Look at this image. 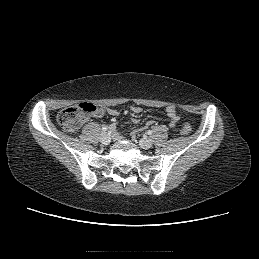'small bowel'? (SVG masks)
<instances>
[{"instance_id": "obj_1", "label": "small bowel", "mask_w": 259, "mask_h": 259, "mask_svg": "<svg viewBox=\"0 0 259 259\" xmlns=\"http://www.w3.org/2000/svg\"><path fill=\"white\" fill-rule=\"evenodd\" d=\"M129 109H130V111H132L135 114H139L142 112V108L139 106H135V105L130 106ZM120 113H121V111L118 109H115V108H98L97 111L93 114V116L98 118V117L103 116L104 114H108L112 117H115V116H118ZM166 113L170 119V126L171 127L176 126L179 122V117L177 115L175 107L172 105L168 106L166 108ZM152 123H153L152 120H149L147 122V124H152ZM111 129L115 130L116 129L115 125H112Z\"/></svg>"}]
</instances>
